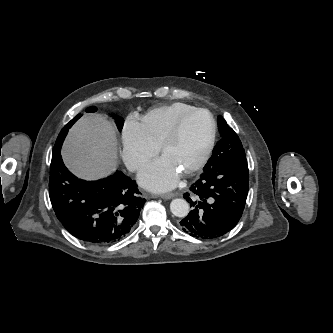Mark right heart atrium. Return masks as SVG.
Listing matches in <instances>:
<instances>
[{"instance_id": "right-heart-atrium-1", "label": "right heart atrium", "mask_w": 333, "mask_h": 333, "mask_svg": "<svg viewBox=\"0 0 333 333\" xmlns=\"http://www.w3.org/2000/svg\"><path fill=\"white\" fill-rule=\"evenodd\" d=\"M122 159L129 170L142 169L158 152V146L146 133L142 123L128 116L121 130Z\"/></svg>"}]
</instances>
